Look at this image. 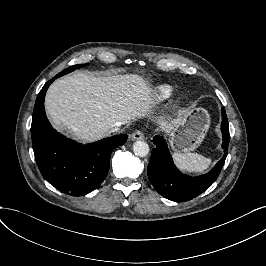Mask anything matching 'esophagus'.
Masks as SVG:
<instances>
[{"mask_svg": "<svg viewBox=\"0 0 266 266\" xmlns=\"http://www.w3.org/2000/svg\"><path fill=\"white\" fill-rule=\"evenodd\" d=\"M143 138H144V135L140 131H135L134 133L131 134L132 140H142Z\"/></svg>", "mask_w": 266, "mask_h": 266, "instance_id": "1", "label": "esophagus"}]
</instances>
